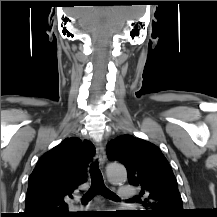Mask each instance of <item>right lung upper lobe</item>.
I'll use <instances>...</instances> for the list:
<instances>
[{"label": "right lung upper lobe", "instance_id": "obj_1", "mask_svg": "<svg viewBox=\"0 0 217 217\" xmlns=\"http://www.w3.org/2000/svg\"><path fill=\"white\" fill-rule=\"evenodd\" d=\"M95 148L87 140L66 138L46 152L29 177L23 217H73L64 199L86 182Z\"/></svg>", "mask_w": 217, "mask_h": 217}]
</instances>
